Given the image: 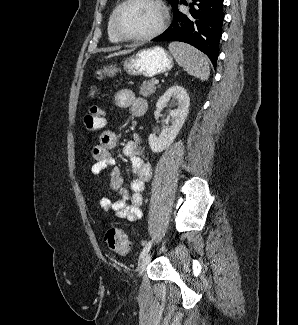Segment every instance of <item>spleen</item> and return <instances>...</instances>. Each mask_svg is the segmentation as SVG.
Returning a JSON list of instances; mask_svg holds the SVG:
<instances>
[{"label": "spleen", "instance_id": "3e777b00", "mask_svg": "<svg viewBox=\"0 0 298 325\" xmlns=\"http://www.w3.org/2000/svg\"><path fill=\"white\" fill-rule=\"evenodd\" d=\"M168 50L188 74H193L200 80H208L211 68L209 58L203 52L186 42H170Z\"/></svg>", "mask_w": 298, "mask_h": 325}]
</instances>
